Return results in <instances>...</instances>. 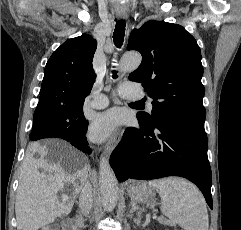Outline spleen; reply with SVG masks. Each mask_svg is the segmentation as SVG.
Instances as JSON below:
<instances>
[{"instance_id": "3e777b00", "label": "spleen", "mask_w": 241, "mask_h": 230, "mask_svg": "<svg viewBox=\"0 0 241 230\" xmlns=\"http://www.w3.org/2000/svg\"><path fill=\"white\" fill-rule=\"evenodd\" d=\"M161 197V212L184 230H208L206 203L201 192L190 182L180 178H166L149 182Z\"/></svg>"}]
</instances>
